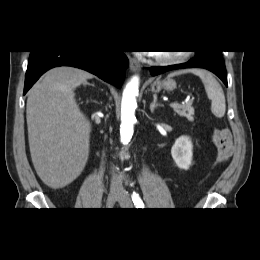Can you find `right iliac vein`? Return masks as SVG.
I'll use <instances>...</instances> for the list:
<instances>
[{
    "label": "right iliac vein",
    "mask_w": 260,
    "mask_h": 260,
    "mask_svg": "<svg viewBox=\"0 0 260 260\" xmlns=\"http://www.w3.org/2000/svg\"><path fill=\"white\" fill-rule=\"evenodd\" d=\"M120 197V193L117 192V191H111L109 194H108V197H107V206L108 207H111L114 205V203L118 200V198Z\"/></svg>",
    "instance_id": "obj_1"
}]
</instances>
